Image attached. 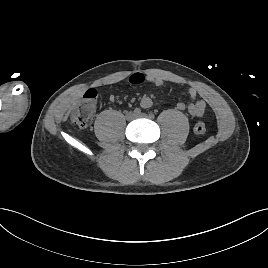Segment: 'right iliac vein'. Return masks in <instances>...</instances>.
Returning a JSON list of instances; mask_svg holds the SVG:
<instances>
[{
	"label": "right iliac vein",
	"instance_id": "1",
	"mask_svg": "<svg viewBox=\"0 0 268 268\" xmlns=\"http://www.w3.org/2000/svg\"><path fill=\"white\" fill-rule=\"evenodd\" d=\"M136 117V115L133 112H127L126 113V119L127 120H133Z\"/></svg>",
	"mask_w": 268,
	"mask_h": 268
}]
</instances>
